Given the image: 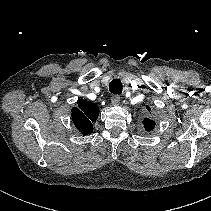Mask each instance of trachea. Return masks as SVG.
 <instances>
[{"label":"trachea","mask_w":211,"mask_h":211,"mask_svg":"<svg viewBox=\"0 0 211 211\" xmlns=\"http://www.w3.org/2000/svg\"><path fill=\"white\" fill-rule=\"evenodd\" d=\"M122 88L123 85L120 79H113L109 84V90L112 94H121Z\"/></svg>","instance_id":"trachea-1"}]
</instances>
